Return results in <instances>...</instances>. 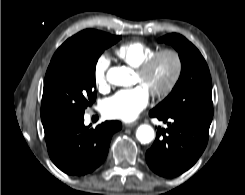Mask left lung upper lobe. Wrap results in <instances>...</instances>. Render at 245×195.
Returning a JSON list of instances; mask_svg holds the SVG:
<instances>
[{
	"label": "left lung upper lobe",
	"instance_id": "left-lung-upper-lobe-1",
	"mask_svg": "<svg viewBox=\"0 0 245 195\" xmlns=\"http://www.w3.org/2000/svg\"><path fill=\"white\" fill-rule=\"evenodd\" d=\"M159 42L171 44L178 51L182 70L172 92L153 110L213 116L211 76L199 50L176 33L161 37Z\"/></svg>",
	"mask_w": 245,
	"mask_h": 195
}]
</instances>
